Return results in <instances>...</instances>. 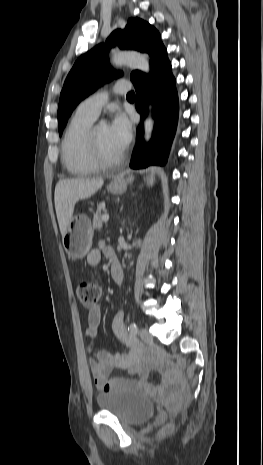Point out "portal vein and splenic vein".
<instances>
[{"mask_svg":"<svg viewBox=\"0 0 263 465\" xmlns=\"http://www.w3.org/2000/svg\"><path fill=\"white\" fill-rule=\"evenodd\" d=\"M102 220H103L104 222H107V221L109 220V215H108V214H104V215L102 216Z\"/></svg>","mask_w":263,"mask_h":465,"instance_id":"obj_1","label":"portal vein and splenic vein"}]
</instances>
